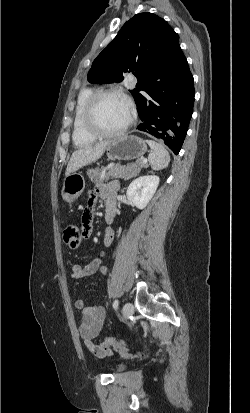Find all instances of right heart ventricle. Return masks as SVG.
<instances>
[{
    "label": "right heart ventricle",
    "mask_w": 250,
    "mask_h": 413,
    "mask_svg": "<svg viewBox=\"0 0 250 413\" xmlns=\"http://www.w3.org/2000/svg\"><path fill=\"white\" fill-rule=\"evenodd\" d=\"M95 92L93 88L83 89L77 99L74 119H73V130H72V140L75 146L83 147L87 146L95 141L96 138L88 134L83 126V112L85 105L90 98V96Z\"/></svg>",
    "instance_id": "obj_1"
}]
</instances>
